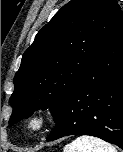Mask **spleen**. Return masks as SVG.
<instances>
[{
  "instance_id": "3e777b00",
  "label": "spleen",
  "mask_w": 123,
  "mask_h": 152,
  "mask_svg": "<svg viewBox=\"0 0 123 152\" xmlns=\"http://www.w3.org/2000/svg\"><path fill=\"white\" fill-rule=\"evenodd\" d=\"M64 152H117L109 143L88 135L77 137L64 147Z\"/></svg>"
}]
</instances>
